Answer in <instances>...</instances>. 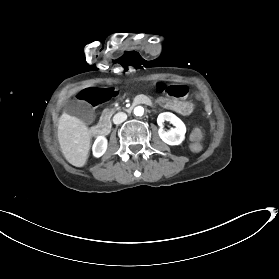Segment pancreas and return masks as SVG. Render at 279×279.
Returning <instances> with one entry per match:
<instances>
[{
    "mask_svg": "<svg viewBox=\"0 0 279 279\" xmlns=\"http://www.w3.org/2000/svg\"><path fill=\"white\" fill-rule=\"evenodd\" d=\"M118 110L116 107H106L104 108L102 115L99 120L106 119L109 120L111 116Z\"/></svg>",
    "mask_w": 279,
    "mask_h": 279,
    "instance_id": "obj_1",
    "label": "pancreas"
}]
</instances>
